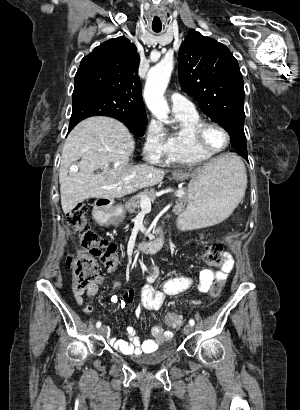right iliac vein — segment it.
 <instances>
[{"instance_id":"obj_1","label":"right iliac vein","mask_w":300,"mask_h":410,"mask_svg":"<svg viewBox=\"0 0 300 410\" xmlns=\"http://www.w3.org/2000/svg\"><path fill=\"white\" fill-rule=\"evenodd\" d=\"M98 333L101 334V335L105 334V333H106L105 327H104V326H103V327H100V328L98 329Z\"/></svg>"}]
</instances>
